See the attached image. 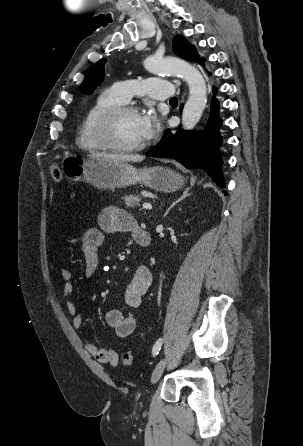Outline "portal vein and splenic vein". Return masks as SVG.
<instances>
[{"instance_id": "1", "label": "portal vein and splenic vein", "mask_w": 303, "mask_h": 446, "mask_svg": "<svg viewBox=\"0 0 303 446\" xmlns=\"http://www.w3.org/2000/svg\"><path fill=\"white\" fill-rule=\"evenodd\" d=\"M142 206H143L144 209H147V210H151L152 209V205L150 203H147V202L143 203Z\"/></svg>"}]
</instances>
